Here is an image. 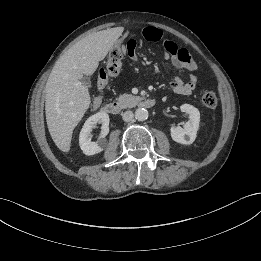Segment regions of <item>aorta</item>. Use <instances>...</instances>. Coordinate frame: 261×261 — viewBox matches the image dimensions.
<instances>
[{"instance_id":"762f6f07","label":"aorta","mask_w":261,"mask_h":261,"mask_svg":"<svg viewBox=\"0 0 261 261\" xmlns=\"http://www.w3.org/2000/svg\"><path fill=\"white\" fill-rule=\"evenodd\" d=\"M148 111L145 108H138L135 111V118L138 121H145L148 119Z\"/></svg>"}]
</instances>
